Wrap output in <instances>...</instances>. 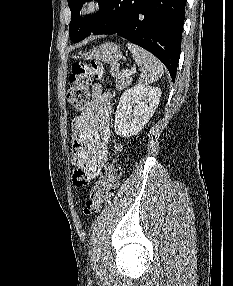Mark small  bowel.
<instances>
[{
    "label": "small bowel",
    "mask_w": 233,
    "mask_h": 286,
    "mask_svg": "<svg viewBox=\"0 0 233 286\" xmlns=\"http://www.w3.org/2000/svg\"><path fill=\"white\" fill-rule=\"evenodd\" d=\"M111 96L95 83L86 109L72 121L73 154L76 169L73 182L85 186L101 172L108 159Z\"/></svg>",
    "instance_id": "small-bowel-1"
}]
</instances>
